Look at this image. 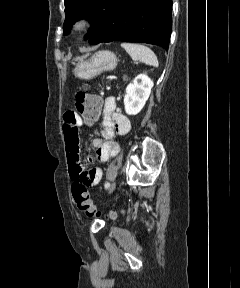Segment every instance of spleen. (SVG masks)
I'll return each mask as SVG.
<instances>
[{
    "label": "spleen",
    "instance_id": "spleen-1",
    "mask_svg": "<svg viewBox=\"0 0 240 288\" xmlns=\"http://www.w3.org/2000/svg\"><path fill=\"white\" fill-rule=\"evenodd\" d=\"M121 46L127 51L133 60H139L147 65L158 67V59L149 47L135 43H122Z\"/></svg>",
    "mask_w": 240,
    "mask_h": 288
}]
</instances>
